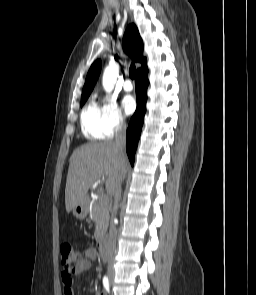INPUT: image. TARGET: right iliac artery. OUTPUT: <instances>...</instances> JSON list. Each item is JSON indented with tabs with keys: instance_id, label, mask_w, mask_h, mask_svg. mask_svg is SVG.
<instances>
[{
	"instance_id": "1",
	"label": "right iliac artery",
	"mask_w": 256,
	"mask_h": 295,
	"mask_svg": "<svg viewBox=\"0 0 256 295\" xmlns=\"http://www.w3.org/2000/svg\"><path fill=\"white\" fill-rule=\"evenodd\" d=\"M103 286L106 290L109 289V280H108L107 276H104V278H103Z\"/></svg>"
}]
</instances>
